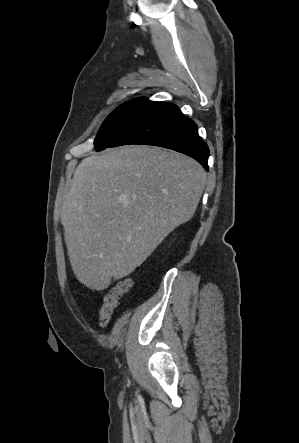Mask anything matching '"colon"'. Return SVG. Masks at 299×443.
Instances as JSON below:
<instances>
[{
	"label": "colon",
	"instance_id": "1",
	"mask_svg": "<svg viewBox=\"0 0 299 443\" xmlns=\"http://www.w3.org/2000/svg\"><path fill=\"white\" fill-rule=\"evenodd\" d=\"M132 284V278H125L103 296L99 307L100 322L103 326L108 325L114 311L119 306L122 297L129 291Z\"/></svg>",
	"mask_w": 299,
	"mask_h": 443
}]
</instances>
